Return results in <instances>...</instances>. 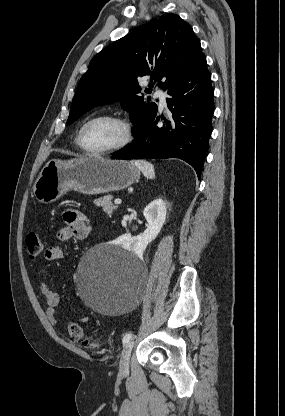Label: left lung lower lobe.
Segmentation results:
<instances>
[{
    "instance_id": "obj_1",
    "label": "left lung lower lobe",
    "mask_w": 285,
    "mask_h": 416,
    "mask_svg": "<svg viewBox=\"0 0 285 416\" xmlns=\"http://www.w3.org/2000/svg\"><path fill=\"white\" fill-rule=\"evenodd\" d=\"M167 93L172 97L166 101L173 116L164 119L162 128L156 126L159 117L156 121L154 118L134 135L131 145L115 152L112 159L179 158L189 163L200 179L214 112V90L204 55Z\"/></svg>"
}]
</instances>
